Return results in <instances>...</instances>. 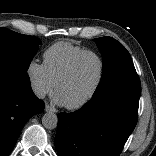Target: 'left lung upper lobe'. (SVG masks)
Returning <instances> with one entry per match:
<instances>
[{
    "instance_id": "left-lung-upper-lobe-1",
    "label": "left lung upper lobe",
    "mask_w": 156,
    "mask_h": 156,
    "mask_svg": "<svg viewBox=\"0 0 156 156\" xmlns=\"http://www.w3.org/2000/svg\"><path fill=\"white\" fill-rule=\"evenodd\" d=\"M96 43L103 54V72L93 96L114 90L141 93V83L126 48L112 37H101Z\"/></svg>"
}]
</instances>
